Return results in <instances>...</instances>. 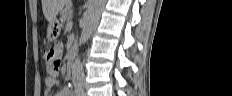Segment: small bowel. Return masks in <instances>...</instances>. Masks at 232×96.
I'll return each instance as SVG.
<instances>
[{
  "mask_svg": "<svg viewBox=\"0 0 232 96\" xmlns=\"http://www.w3.org/2000/svg\"><path fill=\"white\" fill-rule=\"evenodd\" d=\"M73 35L76 33L74 30L71 32ZM47 86H52L54 84V79L49 77L46 79Z\"/></svg>",
  "mask_w": 232,
  "mask_h": 96,
  "instance_id": "small-bowel-1",
  "label": "small bowel"
}]
</instances>
